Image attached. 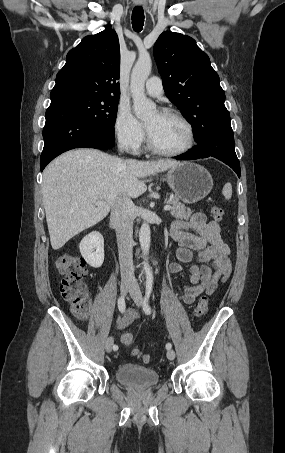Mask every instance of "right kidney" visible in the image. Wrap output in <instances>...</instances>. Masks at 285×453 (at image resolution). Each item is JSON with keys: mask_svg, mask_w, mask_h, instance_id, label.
Instances as JSON below:
<instances>
[{"mask_svg": "<svg viewBox=\"0 0 285 453\" xmlns=\"http://www.w3.org/2000/svg\"><path fill=\"white\" fill-rule=\"evenodd\" d=\"M80 253L93 268H99L104 261V239L99 232L86 235L79 245Z\"/></svg>", "mask_w": 285, "mask_h": 453, "instance_id": "obj_1", "label": "right kidney"}]
</instances>
